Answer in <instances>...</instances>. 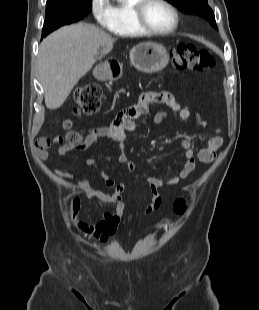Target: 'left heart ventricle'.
I'll return each mask as SVG.
<instances>
[{"label":"left heart ventricle","instance_id":"obj_1","mask_svg":"<svg viewBox=\"0 0 259 310\" xmlns=\"http://www.w3.org/2000/svg\"><path fill=\"white\" fill-rule=\"evenodd\" d=\"M145 18L148 24L156 30L170 29L175 22L171 10L158 1H152L148 4Z\"/></svg>","mask_w":259,"mask_h":310}]
</instances>
